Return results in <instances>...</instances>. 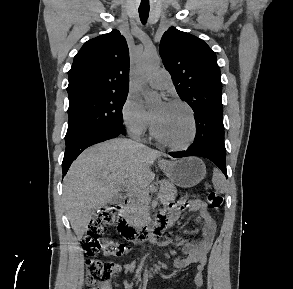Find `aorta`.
Here are the masks:
<instances>
[{
    "mask_svg": "<svg viewBox=\"0 0 293 289\" xmlns=\"http://www.w3.org/2000/svg\"><path fill=\"white\" fill-rule=\"evenodd\" d=\"M160 66L159 57L156 54H144L138 64L139 80L142 83L153 72L158 70ZM144 98L147 103L154 104L160 101V96L155 92H143Z\"/></svg>",
    "mask_w": 293,
    "mask_h": 289,
    "instance_id": "aorta-1",
    "label": "aorta"
}]
</instances>
